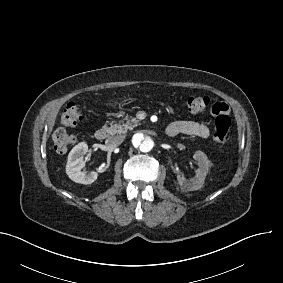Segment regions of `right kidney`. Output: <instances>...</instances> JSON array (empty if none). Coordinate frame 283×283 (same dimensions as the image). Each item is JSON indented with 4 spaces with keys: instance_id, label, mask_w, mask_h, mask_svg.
<instances>
[{
    "instance_id": "1",
    "label": "right kidney",
    "mask_w": 283,
    "mask_h": 283,
    "mask_svg": "<svg viewBox=\"0 0 283 283\" xmlns=\"http://www.w3.org/2000/svg\"><path fill=\"white\" fill-rule=\"evenodd\" d=\"M88 152L86 143L81 142L77 144L69 153L68 161L65 167L66 174L69 178L79 184H92L98 177V173L93 171L89 174H84L81 169L86 166L84 162V155Z\"/></svg>"
}]
</instances>
